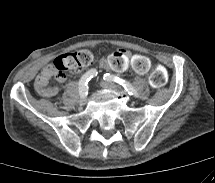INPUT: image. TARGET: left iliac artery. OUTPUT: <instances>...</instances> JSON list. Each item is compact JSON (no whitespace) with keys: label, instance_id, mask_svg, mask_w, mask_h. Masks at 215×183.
<instances>
[{"label":"left iliac artery","instance_id":"left-iliac-artery-1","mask_svg":"<svg viewBox=\"0 0 215 183\" xmlns=\"http://www.w3.org/2000/svg\"><path fill=\"white\" fill-rule=\"evenodd\" d=\"M103 79L109 82H116L124 87V89L128 92L129 95H134L135 97H139L138 92L134 89V87L124 79H121L112 74H104Z\"/></svg>","mask_w":215,"mask_h":183}]
</instances>
